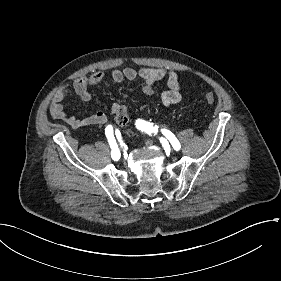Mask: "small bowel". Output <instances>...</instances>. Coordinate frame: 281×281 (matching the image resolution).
<instances>
[{"label": "small bowel", "instance_id": "1", "mask_svg": "<svg viewBox=\"0 0 281 281\" xmlns=\"http://www.w3.org/2000/svg\"><path fill=\"white\" fill-rule=\"evenodd\" d=\"M110 79L113 83H120L124 80L141 79L143 81L142 91L146 95L154 93V84L157 81L166 79L168 90L161 96V101L165 106H171L178 103L181 99L180 85L178 75L175 71L163 68H140L125 67L124 69H115L110 74ZM104 80V75L101 72H96L88 77H81L75 80L73 91L84 102L92 100L90 88L98 86ZM69 86L62 87L55 95L50 107V114L53 118L60 120L71 128H83L96 125H104L108 121V117L103 112H97L86 116H77L68 113L64 107L63 101L70 94ZM111 114L115 117L119 115L128 116L127 108L115 103L111 108Z\"/></svg>", "mask_w": 281, "mask_h": 281}]
</instances>
